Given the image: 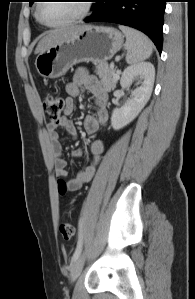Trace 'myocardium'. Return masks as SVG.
<instances>
[{"label": "myocardium", "instance_id": "f54148a6", "mask_svg": "<svg viewBox=\"0 0 195 299\" xmlns=\"http://www.w3.org/2000/svg\"><path fill=\"white\" fill-rule=\"evenodd\" d=\"M82 1H83V8H82V11L80 12V14H78L77 16H75L69 20H66L64 22L53 24V23H49L46 20H44V18L41 15V6L43 3H38L36 6V18L41 24H43L44 26L49 27V28H60V27H65V26L71 25L73 23H76L78 21L85 19L91 12V9H92L91 1L90 0H82Z\"/></svg>", "mask_w": 195, "mask_h": 299}]
</instances>
